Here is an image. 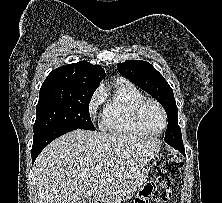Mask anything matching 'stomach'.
<instances>
[{
    "label": "stomach",
    "instance_id": "obj_1",
    "mask_svg": "<svg viewBox=\"0 0 222 203\" xmlns=\"http://www.w3.org/2000/svg\"><path fill=\"white\" fill-rule=\"evenodd\" d=\"M148 170L149 168H143L133 178L128 179L119 189L118 200L131 198L135 191L146 182ZM117 198L106 197L105 203H117Z\"/></svg>",
    "mask_w": 222,
    "mask_h": 203
}]
</instances>
